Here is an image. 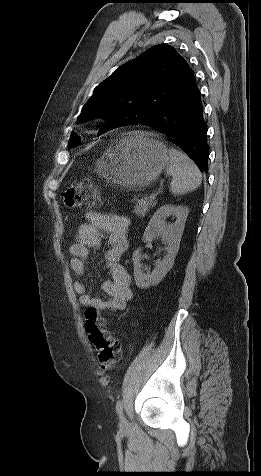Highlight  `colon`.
Here are the masks:
<instances>
[{"label":"colon","mask_w":261,"mask_h":476,"mask_svg":"<svg viewBox=\"0 0 261 476\" xmlns=\"http://www.w3.org/2000/svg\"><path fill=\"white\" fill-rule=\"evenodd\" d=\"M61 200L69 208L91 209L98 205L100 196L97 187L89 179L82 178L62 193ZM84 327L101 369L110 370L120 358V344L107 331L104 318L96 308L89 307L85 311Z\"/></svg>","instance_id":"colon-1"}]
</instances>
